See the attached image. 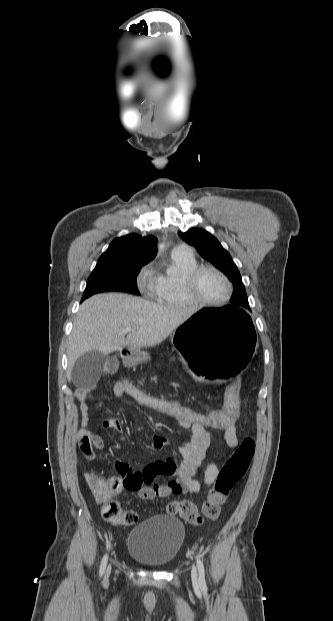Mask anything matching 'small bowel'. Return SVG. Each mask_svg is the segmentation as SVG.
Instances as JSON below:
<instances>
[{
	"mask_svg": "<svg viewBox=\"0 0 333 621\" xmlns=\"http://www.w3.org/2000/svg\"><path fill=\"white\" fill-rule=\"evenodd\" d=\"M114 394L122 396V392L114 385ZM75 396L79 401L81 416V427L78 431V442L84 455L93 459L95 449L102 445L101 438L90 431V417L88 401L93 397V386L83 385L79 387ZM187 430L191 437L190 440L181 445L178 450L182 457L180 464H176L172 458H165L148 464L142 470H136L128 463L117 462L116 468L125 469L128 475H132L137 480L136 487L132 490L142 499L164 498L170 495L194 494L198 493L202 486H210L218 476V466L215 462H210L206 466L202 480L197 478L198 469L205 458L209 447V435L206 426L199 424H180ZM104 426L122 435L121 423L116 419H108ZM224 440L228 448H234L238 444L237 430L235 423L224 428ZM168 441L161 436H154L152 448L162 450ZM158 476H166L170 479L165 483L155 482ZM123 489H119L121 492Z\"/></svg>",
	"mask_w": 333,
	"mask_h": 621,
	"instance_id": "obj_1",
	"label": "small bowel"
}]
</instances>
